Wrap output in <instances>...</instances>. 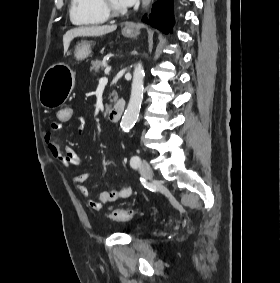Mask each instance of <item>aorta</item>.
Wrapping results in <instances>:
<instances>
[{
    "mask_svg": "<svg viewBox=\"0 0 280 283\" xmlns=\"http://www.w3.org/2000/svg\"><path fill=\"white\" fill-rule=\"evenodd\" d=\"M144 75L145 73L142 64H136L133 72L129 104L121 120V128L124 132L129 131L138 119L143 100Z\"/></svg>",
    "mask_w": 280,
    "mask_h": 283,
    "instance_id": "1",
    "label": "aorta"
}]
</instances>
